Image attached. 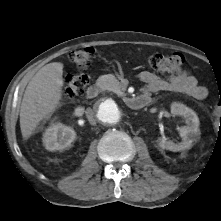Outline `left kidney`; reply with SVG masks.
Instances as JSON below:
<instances>
[{"mask_svg":"<svg viewBox=\"0 0 221 221\" xmlns=\"http://www.w3.org/2000/svg\"><path fill=\"white\" fill-rule=\"evenodd\" d=\"M171 113L174 116H182L185 119L186 125L179 128V134L182 138V141L178 144H175L172 141H167L165 138L160 137L157 140L158 146L162 149L170 150L173 152L190 149L192 143L200 135L198 116L192 109L188 108L182 103L177 102L171 104Z\"/></svg>","mask_w":221,"mask_h":221,"instance_id":"left-kidney-1","label":"left kidney"}]
</instances>
